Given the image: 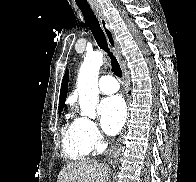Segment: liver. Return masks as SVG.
I'll return each instance as SVG.
<instances>
[{
    "label": "liver",
    "mask_w": 196,
    "mask_h": 182,
    "mask_svg": "<svg viewBox=\"0 0 196 182\" xmlns=\"http://www.w3.org/2000/svg\"><path fill=\"white\" fill-rule=\"evenodd\" d=\"M108 166L97 161H81L65 165L57 182H106Z\"/></svg>",
    "instance_id": "6515ba94"
}]
</instances>
